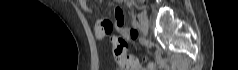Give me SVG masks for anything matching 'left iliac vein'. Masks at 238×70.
<instances>
[{
    "label": "left iliac vein",
    "instance_id": "4c4485c4",
    "mask_svg": "<svg viewBox=\"0 0 238 70\" xmlns=\"http://www.w3.org/2000/svg\"><path fill=\"white\" fill-rule=\"evenodd\" d=\"M140 30L146 33L149 29V20L145 13L139 15Z\"/></svg>",
    "mask_w": 238,
    "mask_h": 70
}]
</instances>
